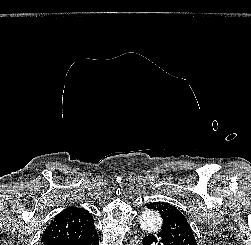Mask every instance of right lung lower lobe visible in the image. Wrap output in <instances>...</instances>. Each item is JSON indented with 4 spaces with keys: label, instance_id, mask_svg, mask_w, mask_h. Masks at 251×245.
Returning <instances> with one entry per match:
<instances>
[{
    "label": "right lung lower lobe",
    "instance_id": "1",
    "mask_svg": "<svg viewBox=\"0 0 251 245\" xmlns=\"http://www.w3.org/2000/svg\"><path fill=\"white\" fill-rule=\"evenodd\" d=\"M99 239L97 232L88 238L78 239V240H68L62 243H54L53 245H98Z\"/></svg>",
    "mask_w": 251,
    "mask_h": 245
}]
</instances>
